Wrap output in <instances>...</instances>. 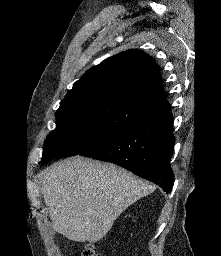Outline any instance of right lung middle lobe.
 I'll list each match as a JSON object with an SVG mask.
<instances>
[{
  "label": "right lung middle lobe",
  "mask_w": 221,
  "mask_h": 256,
  "mask_svg": "<svg viewBox=\"0 0 221 256\" xmlns=\"http://www.w3.org/2000/svg\"><path fill=\"white\" fill-rule=\"evenodd\" d=\"M143 118L141 114H132L112 105L56 112V129L45 140L40 163L80 154L104 138L143 121Z\"/></svg>",
  "instance_id": "dd1d6c3e"
}]
</instances>
